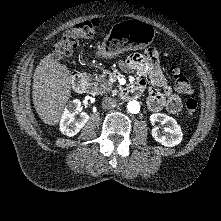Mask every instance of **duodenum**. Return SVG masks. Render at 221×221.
I'll use <instances>...</instances> for the list:
<instances>
[{
	"mask_svg": "<svg viewBox=\"0 0 221 221\" xmlns=\"http://www.w3.org/2000/svg\"><path fill=\"white\" fill-rule=\"evenodd\" d=\"M71 84L74 90L77 92H85L88 88V83L86 80V77L83 73L81 72H75L71 76ZM142 92V89L137 85H131L123 91L122 95L125 99H132L139 97Z\"/></svg>",
	"mask_w": 221,
	"mask_h": 221,
	"instance_id": "obj_1",
	"label": "duodenum"
}]
</instances>
